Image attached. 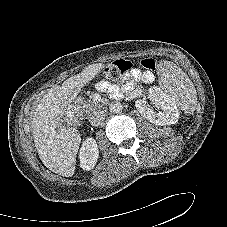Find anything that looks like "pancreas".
I'll use <instances>...</instances> for the list:
<instances>
[{
    "label": "pancreas",
    "instance_id": "cf45deb5",
    "mask_svg": "<svg viewBox=\"0 0 227 227\" xmlns=\"http://www.w3.org/2000/svg\"><path fill=\"white\" fill-rule=\"evenodd\" d=\"M99 106H100V104L97 101H94L92 97L88 101H80L79 105H78L80 110L83 112H86V113H90V112L94 111Z\"/></svg>",
    "mask_w": 227,
    "mask_h": 227
}]
</instances>
